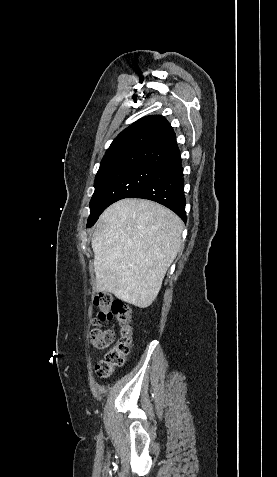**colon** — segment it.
<instances>
[{
	"label": "colon",
	"instance_id": "colon-1",
	"mask_svg": "<svg viewBox=\"0 0 277 477\" xmlns=\"http://www.w3.org/2000/svg\"><path fill=\"white\" fill-rule=\"evenodd\" d=\"M94 305L99 308L98 316L93 320L90 332L91 344L98 349H107L114 343V332L101 326L108 320H117L121 325V336L107 352L104 359L95 365L99 378L109 377L116 367L121 366L129 354L132 332L130 327L131 310L122 300L115 299L109 293H99L94 298Z\"/></svg>",
	"mask_w": 277,
	"mask_h": 477
}]
</instances>
